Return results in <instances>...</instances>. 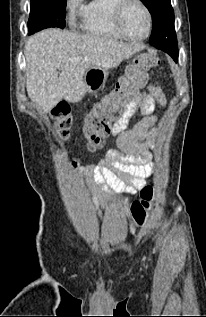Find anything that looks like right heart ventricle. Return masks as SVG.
Segmentation results:
<instances>
[{
	"instance_id": "1",
	"label": "right heart ventricle",
	"mask_w": 206,
	"mask_h": 317,
	"mask_svg": "<svg viewBox=\"0 0 206 317\" xmlns=\"http://www.w3.org/2000/svg\"><path fill=\"white\" fill-rule=\"evenodd\" d=\"M117 0H88L82 6L80 15L84 32L106 37L120 39L112 22V7Z\"/></svg>"
}]
</instances>
